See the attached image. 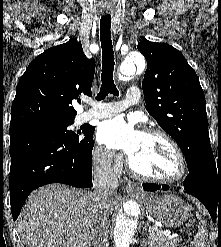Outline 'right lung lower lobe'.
Wrapping results in <instances>:
<instances>
[{
    "label": "right lung lower lobe",
    "instance_id": "right-lung-lower-lobe-1",
    "mask_svg": "<svg viewBox=\"0 0 221 247\" xmlns=\"http://www.w3.org/2000/svg\"><path fill=\"white\" fill-rule=\"evenodd\" d=\"M94 127L91 128L94 132ZM10 134L11 213L18 218L28 195L34 189L63 183L75 187L92 186L93 141L87 146L72 144L48 132L15 128Z\"/></svg>",
    "mask_w": 221,
    "mask_h": 247
}]
</instances>
